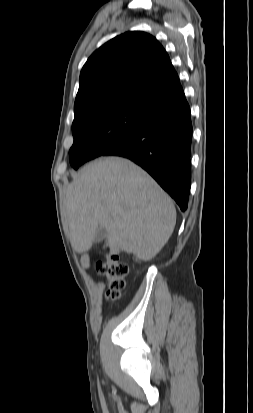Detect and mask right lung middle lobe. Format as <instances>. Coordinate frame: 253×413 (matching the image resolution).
I'll use <instances>...</instances> for the list:
<instances>
[{"instance_id": "dd1d6c3e", "label": "right lung middle lobe", "mask_w": 253, "mask_h": 413, "mask_svg": "<svg viewBox=\"0 0 253 413\" xmlns=\"http://www.w3.org/2000/svg\"><path fill=\"white\" fill-rule=\"evenodd\" d=\"M150 114L136 108L111 107L74 119V143L69 151L71 166L77 169L81 164L103 155L139 131Z\"/></svg>"}]
</instances>
